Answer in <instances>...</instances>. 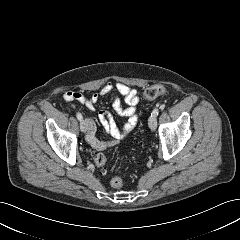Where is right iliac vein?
<instances>
[{"label": "right iliac vein", "mask_w": 240, "mask_h": 240, "mask_svg": "<svg viewBox=\"0 0 240 240\" xmlns=\"http://www.w3.org/2000/svg\"><path fill=\"white\" fill-rule=\"evenodd\" d=\"M80 130L82 132H86L87 131V123H86L85 120H81V122H80Z\"/></svg>", "instance_id": "1"}]
</instances>
